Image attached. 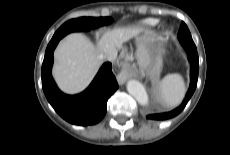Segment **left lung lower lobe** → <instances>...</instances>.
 <instances>
[{
    "label": "left lung lower lobe",
    "instance_id": "left-lung-lower-lobe-1",
    "mask_svg": "<svg viewBox=\"0 0 230 155\" xmlns=\"http://www.w3.org/2000/svg\"><path fill=\"white\" fill-rule=\"evenodd\" d=\"M183 47L185 51L187 52L188 59L191 64V82H190V87L186 94V97L184 101L182 102V104L178 108L174 109L173 111L165 112V113H151L147 115V119L166 120V119H170V118L177 116L184 109L187 102L193 95L196 89L197 80H198V69H199L198 53H197L195 44L187 43V44H184Z\"/></svg>",
    "mask_w": 230,
    "mask_h": 155
}]
</instances>
